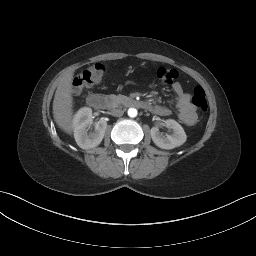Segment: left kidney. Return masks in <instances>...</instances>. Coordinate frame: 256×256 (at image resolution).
<instances>
[{
    "mask_svg": "<svg viewBox=\"0 0 256 256\" xmlns=\"http://www.w3.org/2000/svg\"><path fill=\"white\" fill-rule=\"evenodd\" d=\"M165 126L172 130L169 135H162L158 127L151 128L150 134L153 142L161 149H173L186 142L187 136L182 126L173 119L165 120Z\"/></svg>",
    "mask_w": 256,
    "mask_h": 256,
    "instance_id": "5707ae66",
    "label": "left kidney"
}]
</instances>
